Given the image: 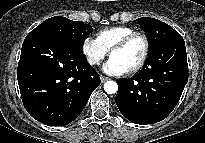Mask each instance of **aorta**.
<instances>
[{"mask_svg":"<svg viewBox=\"0 0 205 143\" xmlns=\"http://www.w3.org/2000/svg\"><path fill=\"white\" fill-rule=\"evenodd\" d=\"M104 90L106 93L108 94H114L117 92L118 90V85L116 82L114 81H107L104 84Z\"/></svg>","mask_w":205,"mask_h":143,"instance_id":"obj_1","label":"aorta"}]
</instances>
